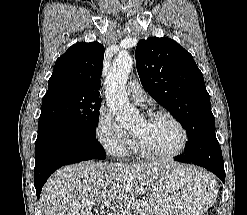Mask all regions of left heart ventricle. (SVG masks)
<instances>
[{
	"mask_svg": "<svg viewBox=\"0 0 247 215\" xmlns=\"http://www.w3.org/2000/svg\"><path fill=\"white\" fill-rule=\"evenodd\" d=\"M139 135L153 153L169 154L176 151L181 143V133L177 126L166 118L152 121L141 119L132 130Z\"/></svg>",
	"mask_w": 247,
	"mask_h": 215,
	"instance_id": "b2bd125f",
	"label": "left heart ventricle"
}]
</instances>
